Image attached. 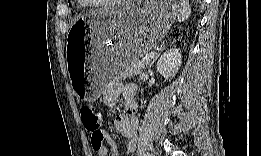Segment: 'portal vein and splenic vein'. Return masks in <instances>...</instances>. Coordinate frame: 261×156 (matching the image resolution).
Returning a JSON list of instances; mask_svg holds the SVG:
<instances>
[{
    "instance_id": "portal-vein-and-splenic-vein-1",
    "label": "portal vein and splenic vein",
    "mask_w": 261,
    "mask_h": 156,
    "mask_svg": "<svg viewBox=\"0 0 261 156\" xmlns=\"http://www.w3.org/2000/svg\"><path fill=\"white\" fill-rule=\"evenodd\" d=\"M156 53L155 52H150L148 54H146L142 59L143 60H150L153 59L155 57Z\"/></svg>"
}]
</instances>
